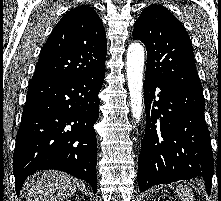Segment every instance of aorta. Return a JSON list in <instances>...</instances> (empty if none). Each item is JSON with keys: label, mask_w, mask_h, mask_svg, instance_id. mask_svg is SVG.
Here are the masks:
<instances>
[{"label": "aorta", "mask_w": 221, "mask_h": 201, "mask_svg": "<svg viewBox=\"0 0 221 201\" xmlns=\"http://www.w3.org/2000/svg\"><path fill=\"white\" fill-rule=\"evenodd\" d=\"M144 49L140 43H132L127 51V81L133 118L140 121L143 112Z\"/></svg>", "instance_id": "1"}]
</instances>
